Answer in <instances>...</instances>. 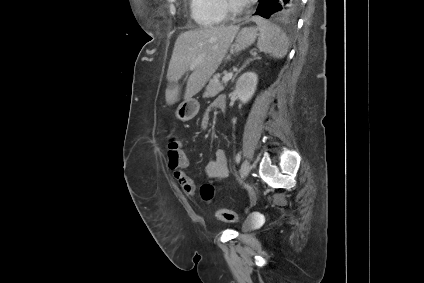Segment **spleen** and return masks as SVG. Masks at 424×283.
Here are the masks:
<instances>
[{"instance_id":"1","label":"spleen","mask_w":424,"mask_h":283,"mask_svg":"<svg viewBox=\"0 0 424 283\" xmlns=\"http://www.w3.org/2000/svg\"><path fill=\"white\" fill-rule=\"evenodd\" d=\"M260 33L258 48L276 59L283 58L288 50V37L276 25L262 18H256Z\"/></svg>"}]
</instances>
